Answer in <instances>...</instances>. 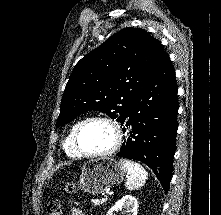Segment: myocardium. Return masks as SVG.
<instances>
[{"instance_id":"f54148a6","label":"myocardium","mask_w":221,"mask_h":215,"mask_svg":"<svg viewBox=\"0 0 221 215\" xmlns=\"http://www.w3.org/2000/svg\"><path fill=\"white\" fill-rule=\"evenodd\" d=\"M95 121L105 122L111 127L113 134H114V141H113L112 146L106 151H103L100 153H88L81 149L80 144H79V136H80L81 131L89 123L95 122ZM122 140H123V136H122V131H121L119 124L113 118L109 116H104V115H96V116H92V117H88L84 119L76 128L74 136H73V142H74V147L76 151L78 152L80 156H83L86 158H102V157L109 156L118 150V148L122 144Z\"/></svg>"}]
</instances>
